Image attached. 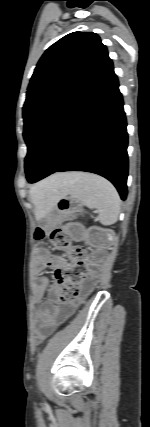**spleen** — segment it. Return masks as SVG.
Returning a JSON list of instances; mask_svg holds the SVG:
<instances>
[{
    "instance_id": "spleen-1",
    "label": "spleen",
    "mask_w": 150,
    "mask_h": 427,
    "mask_svg": "<svg viewBox=\"0 0 150 427\" xmlns=\"http://www.w3.org/2000/svg\"><path fill=\"white\" fill-rule=\"evenodd\" d=\"M57 194V191L50 190ZM62 194H70L84 206L96 209L98 220L109 226L117 222L121 201L115 187L105 178L90 173H71L64 182Z\"/></svg>"
}]
</instances>
